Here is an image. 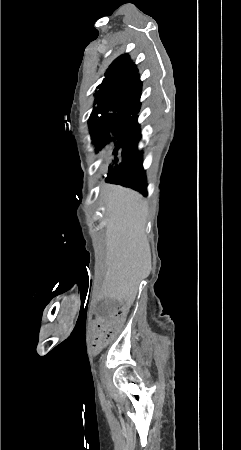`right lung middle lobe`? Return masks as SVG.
I'll return each mask as SVG.
<instances>
[{
  "mask_svg": "<svg viewBox=\"0 0 241 450\" xmlns=\"http://www.w3.org/2000/svg\"><path fill=\"white\" fill-rule=\"evenodd\" d=\"M95 104L88 120L91 136L97 141V153L108 172L130 153L141 137L137 123L141 103L120 99L106 85H99Z\"/></svg>",
  "mask_w": 241,
  "mask_h": 450,
  "instance_id": "1",
  "label": "right lung middle lobe"
}]
</instances>
